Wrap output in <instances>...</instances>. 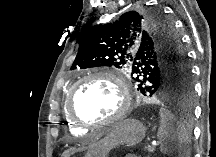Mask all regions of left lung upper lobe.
Here are the masks:
<instances>
[{
    "label": "left lung upper lobe",
    "mask_w": 216,
    "mask_h": 157,
    "mask_svg": "<svg viewBox=\"0 0 216 157\" xmlns=\"http://www.w3.org/2000/svg\"><path fill=\"white\" fill-rule=\"evenodd\" d=\"M101 66L130 69L145 96L178 95L191 104V68L163 10L140 7L84 34L71 69Z\"/></svg>",
    "instance_id": "obj_1"
}]
</instances>
